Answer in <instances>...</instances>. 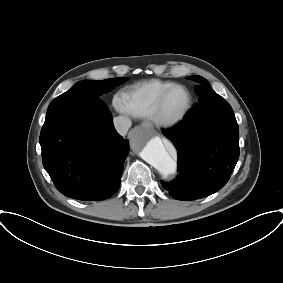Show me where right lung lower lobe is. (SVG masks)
<instances>
[{
	"label": "right lung lower lobe",
	"instance_id": "1",
	"mask_svg": "<svg viewBox=\"0 0 283 283\" xmlns=\"http://www.w3.org/2000/svg\"><path fill=\"white\" fill-rule=\"evenodd\" d=\"M39 142L44 168L65 196L99 201L119 189L129 145L102 101L47 114Z\"/></svg>",
	"mask_w": 283,
	"mask_h": 283
}]
</instances>
